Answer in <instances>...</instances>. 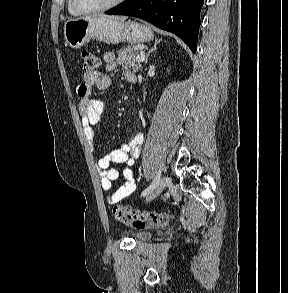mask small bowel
<instances>
[{
  "label": "small bowel",
  "mask_w": 288,
  "mask_h": 293,
  "mask_svg": "<svg viewBox=\"0 0 288 293\" xmlns=\"http://www.w3.org/2000/svg\"><path fill=\"white\" fill-rule=\"evenodd\" d=\"M105 68L108 71L116 67L115 55L112 52H107L103 56ZM125 79L134 83L135 75L126 71ZM111 85L110 76L94 71L90 74H84V82L78 85L77 94L80 97L78 103L79 115L82 123L83 132L88 144L93 147L96 136L95 129L99 125L101 117L105 110V104L100 99L91 98V93L94 87L99 90H105ZM143 143V135L136 134L129 143L121 147L114 148L110 153L101 157L97 162L98 173L100 176L101 186L103 190L109 192L112 189V184L119 177V172L110 167L111 163L124 166L122 175L125 182L115 192L108 195V201L115 204L122 199L131 195L136 189L135 183V161L141 153V145Z\"/></svg>",
  "instance_id": "1"
}]
</instances>
